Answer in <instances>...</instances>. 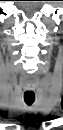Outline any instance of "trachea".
<instances>
[{
    "instance_id": "3493384b",
    "label": "trachea",
    "mask_w": 63,
    "mask_h": 130,
    "mask_svg": "<svg viewBox=\"0 0 63 130\" xmlns=\"http://www.w3.org/2000/svg\"><path fill=\"white\" fill-rule=\"evenodd\" d=\"M24 101L27 105H32L35 101V95L33 92L24 93Z\"/></svg>"
}]
</instances>
